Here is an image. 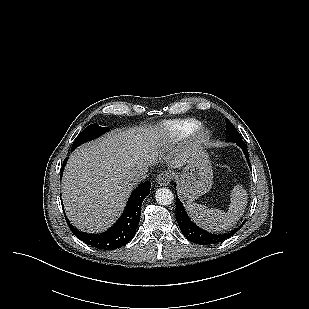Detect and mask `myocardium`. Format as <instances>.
<instances>
[{"label":"myocardium","instance_id":"1","mask_svg":"<svg viewBox=\"0 0 309 309\" xmlns=\"http://www.w3.org/2000/svg\"><path fill=\"white\" fill-rule=\"evenodd\" d=\"M210 137H211V133L205 127H199L194 132V139H195L196 143L199 144V145L207 143L209 141Z\"/></svg>","mask_w":309,"mask_h":309}]
</instances>
